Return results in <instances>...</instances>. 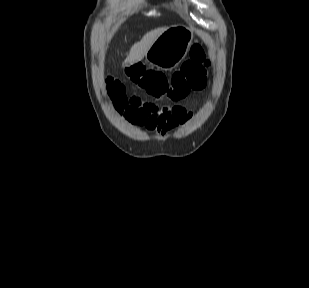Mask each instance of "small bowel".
Listing matches in <instances>:
<instances>
[{
    "instance_id": "c3829d8e",
    "label": "small bowel",
    "mask_w": 309,
    "mask_h": 288,
    "mask_svg": "<svg viewBox=\"0 0 309 288\" xmlns=\"http://www.w3.org/2000/svg\"><path fill=\"white\" fill-rule=\"evenodd\" d=\"M130 111L127 119L134 125L145 127L160 135H165L177 125L183 124L191 118V114L179 105L161 107L153 103H146L139 97L129 100Z\"/></svg>"
}]
</instances>
